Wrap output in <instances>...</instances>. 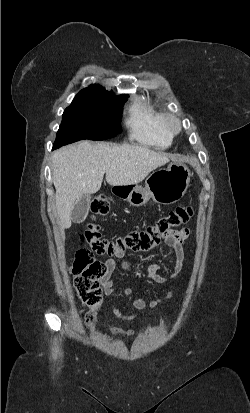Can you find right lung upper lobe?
Masks as SVG:
<instances>
[{"mask_svg": "<svg viewBox=\"0 0 250 413\" xmlns=\"http://www.w3.org/2000/svg\"><path fill=\"white\" fill-rule=\"evenodd\" d=\"M80 92H88V93H97V94H104V95H112L111 92L106 91L104 88H102L99 85H91L83 90H81ZM127 95H119V96H115V97H126Z\"/></svg>", "mask_w": 250, "mask_h": 413, "instance_id": "right-lung-upper-lobe-1", "label": "right lung upper lobe"}]
</instances>
